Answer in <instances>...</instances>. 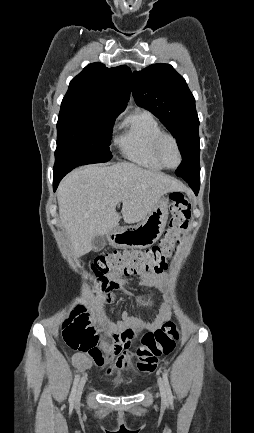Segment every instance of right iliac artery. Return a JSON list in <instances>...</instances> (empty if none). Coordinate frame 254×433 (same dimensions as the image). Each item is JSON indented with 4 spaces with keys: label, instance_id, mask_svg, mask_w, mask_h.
Here are the masks:
<instances>
[{
    "label": "right iliac artery",
    "instance_id": "obj_1",
    "mask_svg": "<svg viewBox=\"0 0 254 433\" xmlns=\"http://www.w3.org/2000/svg\"><path fill=\"white\" fill-rule=\"evenodd\" d=\"M79 379H80V375L77 374V375L75 376V378H74L72 391H71V394H70V397H69V402H70V404H73V402H74L75 393H76V388H77V385H78Z\"/></svg>",
    "mask_w": 254,
    "mask_h": 433
}]
</instances>
